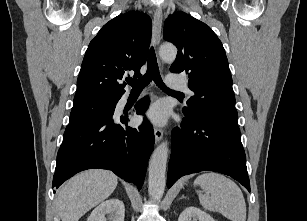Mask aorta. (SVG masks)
Returning <instances> with one entry per match:
<instances>
[{"label": "aorta", "mask_w": 307, "mask_h": 221, "mask_svg": "<svg viewBox=\"0 0 307 221\" xmlns=\"http://www.w3.org/2000/svg\"><path fill=\"white\" fill-rule=\"evenodd\" d=\"M159 55L164 61H173L176 58L177 49L173 45H164L160 48ZM168 152V143L162 142L154 150L149 162L148 192L153 200H160L164 194Z\"/></svg>", "instance_id": "obj_1"}]
</instances>
